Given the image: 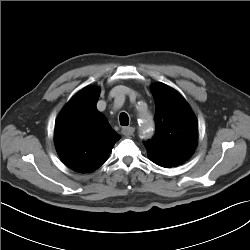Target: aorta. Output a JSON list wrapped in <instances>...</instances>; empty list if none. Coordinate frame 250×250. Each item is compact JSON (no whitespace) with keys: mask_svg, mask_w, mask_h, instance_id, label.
<instances>
[{"mask_svg":"<svg viewBox=\"0 0 250 250\" xmlns=\"http://www.w3.org/2000/svg\"><path fill=\"white\" fill-rule=\"evenodd\" d=\"M140 124V137L143 139H148L153 135L154 132V122L152 116L148 112H142L139 115Z\"/></svg>","mask_w":250,"mask_h":250,"instance_id":"aorta-1","label":"aorta"}]
</instances>
